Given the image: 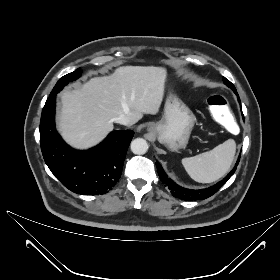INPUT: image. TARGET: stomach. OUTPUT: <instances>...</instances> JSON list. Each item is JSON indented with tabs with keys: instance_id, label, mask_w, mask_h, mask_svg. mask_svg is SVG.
Wrapping results in <instances>:
<instances>
[{
	"instance_id": "1",
	"label": "stomach",
	"mask_w": 280,
	"mask_h": 280,
	"mask_svg": "<svg viewBox=\"0 0 280 280\" xmlns=\"http://www.w3.org/2000/svg\"><path fill=\"white\" fill-rule=\"evenodd\" d=\"M195 122L193 112L175 93H170L162 119L151 126L150 132L170 151H177L186 147Z\"/></svg>"
}]
</instances>
